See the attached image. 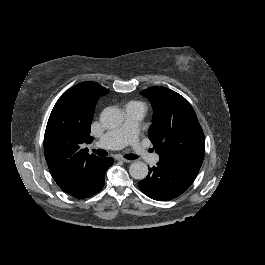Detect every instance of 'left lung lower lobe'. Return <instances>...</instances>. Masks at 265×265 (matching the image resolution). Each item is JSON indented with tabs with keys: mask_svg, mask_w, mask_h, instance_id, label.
Listing matches in <instances>:
<instances>
[{
	"mask_svg": "<svg viewBox=\"0 0 265 265\" xmlns=\"http://www.w3.org/2000/svg\"><path fill=\"white\" fill-rule=\"evenodd\" d=\"M199 169L159 161L156 167L149 168V174L138 185L143 193L154 200H171L189 188Z\"/></svg>",
	"mask_w": 265,
	"mask_h": 265,
	"instance_id": "1",
	"label": "left lung lower lobe"
}]
</instances>
